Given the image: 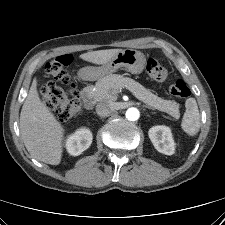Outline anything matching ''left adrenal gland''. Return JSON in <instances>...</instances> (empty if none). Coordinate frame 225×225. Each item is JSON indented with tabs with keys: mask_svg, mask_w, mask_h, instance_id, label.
Returning a JSON list of instances; mask_svg holds the SVG:
<instances>
[{
	"mask_svg": "<svg viewBox=\"0 0 225 225\" xmlns=\"http://www.w3.org/2000/svg\"><path fill=\"white\" fill-rule=\"evenodd\" d=\"M143 107H145V108H148V109H152L151 107H149V106H146V105H144Z\"/></svg>",
	"mask_w": 225,
	"mask_h": 225,
	"instance_id": "a2214340",
	"label": "left adrenal gland"
}]
</instances>
